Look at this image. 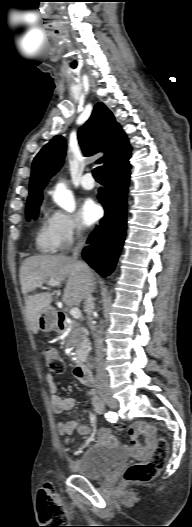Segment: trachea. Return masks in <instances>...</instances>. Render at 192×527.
<instances>
[{"label":"trachea","mask_w":192,"mask_h":527,"mask_svg":"<svg viewBox=\"0 0 192 527\" xmlns=\"http://www.w3.org/2000/svg\"><path fill=\"white\" fill-rule=\"evenodd\" d=\"M93 176L96 181H103V168L102 166L96 167L93 171Z\"/></svg>","instance_id":"trachea-1"}]
</instances>
